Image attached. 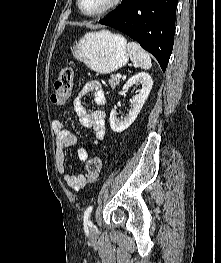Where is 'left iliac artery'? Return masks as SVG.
<instances>
[{"label": "left iliac artery", "instance_id": "44dca946", "mask_svg": "<svg viewBox=\"0 0 221 263\" xmlns=\"http://www.w3.org/2000/svg\"><path fill=\"white\" fill-rule=\"evenodd\" d=\"M92 209H93V206H89L84 212V223L85 224H89V225L91 224V222L89 221V217L92 212Z\"/></svg>", "mask_w": 221, "mask_h": 263}]
</instances>
